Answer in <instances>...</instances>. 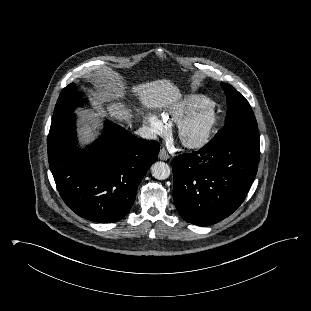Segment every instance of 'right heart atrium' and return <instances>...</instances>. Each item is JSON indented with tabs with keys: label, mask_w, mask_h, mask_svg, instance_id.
I'll use <instances>...</instances> for the list:
<instances>
[{
	"label": "right heart atrium",
	"mask_w": 311,
	"mask_h": 311,
	"mask_svg": "<svg viewBox=\"0 0 311 311\" xmlns=\"http://www.w3.org/2000/svg\"><path fill=\"white\" fill-rule=\"evenodd\" d=\"M150 133L153 136H164L169 132V125L154 114H148L145 118Z\"/></svg>",
	"instance_id": "1"
}]
</instances>
